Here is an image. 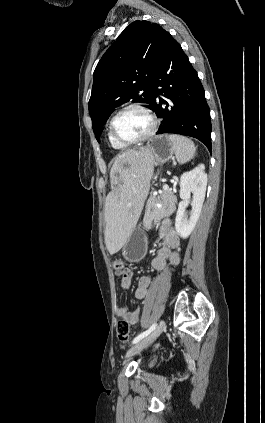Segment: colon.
<instances>
[{
    "instance_id": "1",
    "label": "colon",
    "mask_w": 265,
    "mask_h": 423,
    "mask_svg": "<svg viewBox=\"0 0 265 423\" xmlns=\"http://www.w3.org/2000/svg\"><path fill=\"white\" fill-rule=\"evenodd\" d=\"M124 263L121 259H115L113 261V268L116 271H122L124 269ZM116 336L119 341L127 342L130 338V328L126 321H120L116 326Z\"/></svg>"
}]
</instances>
